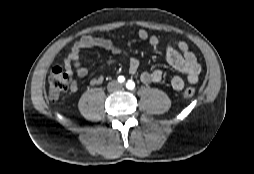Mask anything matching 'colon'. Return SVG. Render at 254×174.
Here are the masks:
<instances>
[{
	"label": "colon",
	"mask_w": 254,
	"mask_h": 174,
	"mask_svg": "<svg viewBox=\"0 0 254 174\" xmlns=\"http://www.w3.org/2000/svg\"><path fill=\"white\" fill-rule=\"evenodd\" d=\"M70 74L61 66L52 69L48 78V96L51 100H57L70 88ZM186 98H192L195 90L188 87L183 92Z\"/></svg>",
	"instance_id": "obj_1"
}]
</instances>
